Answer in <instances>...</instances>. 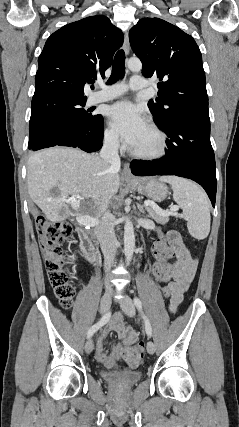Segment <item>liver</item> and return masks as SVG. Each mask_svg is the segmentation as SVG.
<instances>
[{
    "instance_id": "obj_1",
    "label": "liver",
    "mask_w": 239,
    "mask_h": 427,
    "mask_svg": "<svg viewBox=\"0 0 239 427\" xmlns=\"http://www.w3.org/2000/svg\"><path fill=\"white\" fill-rule=\"evenodd\" d=\"M118 170L97 155L69 147H51L33 153L27 163V186L32 201L51 222L73 215L69 196L91 198L95 208L90 216L99 218L118 192ZM57 188V193L52 189ZM76 215H82L80 201L71 204Z\"/></svg>"
}]
</instances>
